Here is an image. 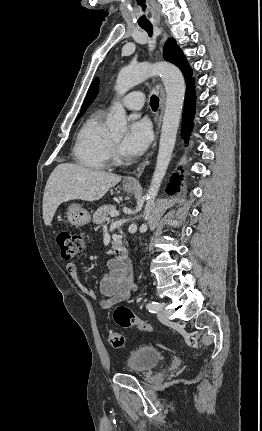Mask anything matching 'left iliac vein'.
Listing matches in <instances>:
<instances>
[{"label": "left iliac vein", "instance_id": "obj_1", "mask_svg": "<svg viewBox=\"0 0 262 431\" xmlns=\"http://www.w3.org/2000/svg\"><path fill=\"white\" fill-rule=\"evenodd\" d=\"M169 313L168 310L165 308V303H161V308L158 311V318L161 322H168L169 321V317H168Z\"/></svg>", "mask_w": 262, "mask_h": 431}]
</instances>
